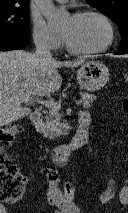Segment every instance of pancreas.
Listing matches in <instances>:
<instances>
[{
    "label": "pancreas",
    "mask_w": 128,
    "mask_h": 213,
    "mask_svg": "<svg viewBox=\"0 0 128 213\" xmlns=\"http://www.w3.org/2000/svg\"><path fill=\"white\" fill-rule=\"evenodd\" d=\"M80 105L83 108H89L91 103L96 99L92 94L81 92ZM44 125V134L50 139L59 136H65L69 133V126L62 122V115L57 109H50L48 116H46Z\"/></svg>",
    "instance_id": "obj_1"
}]
</instances>
